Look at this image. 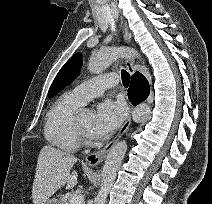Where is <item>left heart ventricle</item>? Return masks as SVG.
<instances>
[{
    "mask_svg": "<svg viewBox=\"0 0 212 204\" xmlns=\"http://www.w3.org/2000/svg\"><path fill=\"white\" fill-rule=\"evenodd\" d=\"M93 120H94L93 115H86V116H82L79 118V122H80L81 126L89 133H91V127L93 124Z\"/></svg>",
    "mask_w": 212,
    "mask_h": 204,
    "instance_id": "1",
    "label": "left heart ventricle"
}]
</instances>
